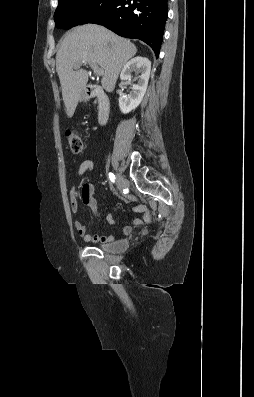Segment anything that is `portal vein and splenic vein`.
Returning a JSON list of instances; mask_svg holds the SVG:
<instances>
[{"instance_id":"obj_1","label":"portal vein and splenic vein","mask_w":254,"mask_h":397,"mask_svg":"<svg viewBox=\"0 0 254 397\" xmlns=\"http://www.w3.org/2000/svg\"><path fill=\"white\" fill-rule=\"evenodd\" d=\"M79 67H80V65H76L75 69H78ZM91 67H92L94 73H96L97 75H103L104 70L102 68H100L98 65L92 63Z\"/></svg>"}]
</instances>
